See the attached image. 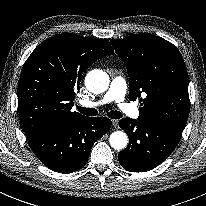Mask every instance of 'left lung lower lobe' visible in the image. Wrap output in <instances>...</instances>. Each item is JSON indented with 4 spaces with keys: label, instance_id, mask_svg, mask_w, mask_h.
<instances>
[{
    "label": "left lung lower lobe",
    "instance_id": "obj_1",
    "mask_svg": "<svg viewBox=\"0 0 206 206\" xmlns=\"http://www.w3.org/2000/svg\"><path fill=\"white\" fill-rule=\"evenodd\" d=\"M119 126L128 137V146L119 152L121 166L130 172L152 170L165 161L178 145L182 132L123 118Z\"/></svg>",
    "mask_w": 206,
    "mask_h": 206
}]
</instances>
